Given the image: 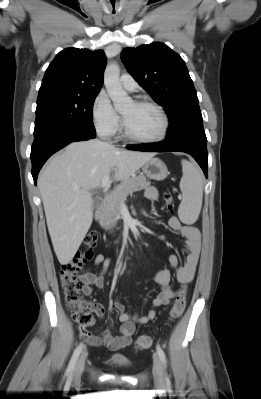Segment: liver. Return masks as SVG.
Instances as JSON below:
<instances>
[{
    "instance_id": "1",
    "label": "liver",
    "mask_w": 261,
    "mask_h": 399,
    "mask_svg": "<svg viewBox=\"0 0 261 399\" xmlns=\"http://www.w3.org/2000/svg\"><path fill=\"white\" fill-rule=\"evenodd\" d=\"M154 155L89 140L73 142L52 157L39 175L38 186L60 264L72 260L92 224L90 190L111 172L115 180H127Z\"/></svg>"
}]
</instances>
